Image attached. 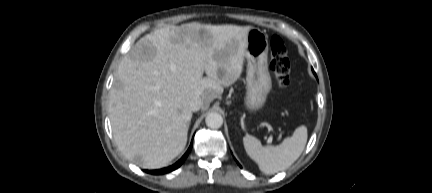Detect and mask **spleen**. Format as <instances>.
<instances>
[{
	"mask_svg": "<svg viewBox=\"0 0 432 193\" xmlns=\"http://www.w3.org/2000/svg\"><path fill=\"white\" fill-rule=\"evenodd\" d=\"M307 128L298 127L291 137L278 146H262L252 135L243 137L246 153L264 174H275L290 167L302 154L307 143Z\"/></svg>",
	"mask_w": 432,
	"mask_h": 193,
	"instance_id": "3e777b00",
	"label": "spleen"
}]
</instances>
